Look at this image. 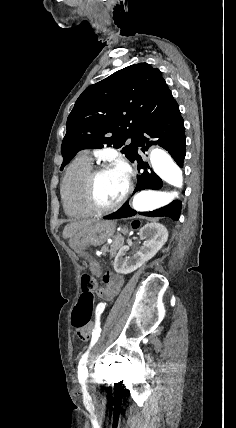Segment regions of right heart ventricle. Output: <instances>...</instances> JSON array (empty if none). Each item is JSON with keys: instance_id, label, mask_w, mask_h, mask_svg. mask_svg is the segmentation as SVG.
<instances>
[{"instance_id": "1", "label": "right heart ventricle", "mask_w": 236, "mask_h": 428, "mask_svg": "<svg viewBox=\"0 0 236 428\" xmlns=\"http://www.w3.org/2000/svg\"><path fill=\"white\" fill-rule=\"evenodd\" d=\"M92 169L91 157L82 153L70 165L62 180L61 196L64 208L74 218H88L97 213L88 206L84 196V183Z\"/></svg>"}]
</instances>
